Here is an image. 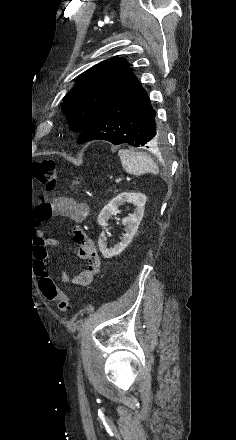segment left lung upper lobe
Masks as SVG:
<instances>
[{
    "instance_id": "5c2ea615",
    "label": "left lung upper lobe",
    "mask_w": 236,
    "mask_h": 440,
    "mask_svg": "<svg viewBox=\"0 0 236 440\" xmlns=\"http://www.w3.org/2000/svg\"><path fill=\"white\" fill-rule=\"evenodd\" d=\"M137 81L123 58L105 60L81 74L63 98L71 129L82 132L112 100Z\"/></svg>"
}]
</instances>
